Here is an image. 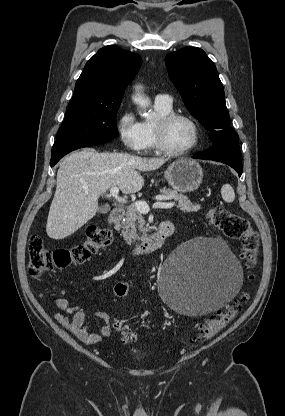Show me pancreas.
<instances>
[{
  "label": "pancreas",
  "instance_id": "cf45deb5",
  "mask_svg": "<svg viewBox=\"0 0 285 416\" xmlns=\"http://www.w3.org/2000/svg\"><path fill=\"white\" fill-rule=\"evenodd\" d=\"M161 194L159 196H171L172 200H176L178 202L177 208L183 210V212H198L201 206L200 204H191L190 200H188L187 196H183V194H178L175 190H160ZM126 222H122L121 228H123L121 234H123V238L127 244H133L140 238H146L147 236V228H145V220L143 216H141L140 212L136 210L135 206H127V212L125 214Z\"/></svg>",
  "mask_w": 285,
  "mask_h": 416
}]
</instances>
